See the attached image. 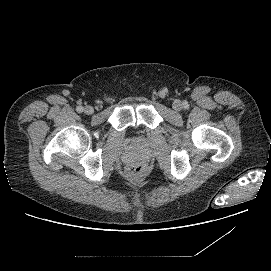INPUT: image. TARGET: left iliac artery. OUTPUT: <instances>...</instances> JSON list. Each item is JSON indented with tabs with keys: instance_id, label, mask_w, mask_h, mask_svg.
Wrapping results in <instances>:
<instances>
[{
	"instance_id": "obj_1",
	"label": "left iliac artery",
	"mask_w": 271,
	"mask_h": 271,
	"mask_svg": "<svg viewBox=\"0 0 271 271\" xmlns=\"http://www.w3.org/2000/svg\"><path fill=\"white\" fill-rule=\"evenodd\" d=\"M183 105H184L185 108L188 106L187 103H183Z\"/></svg>"
}]
</instances>
